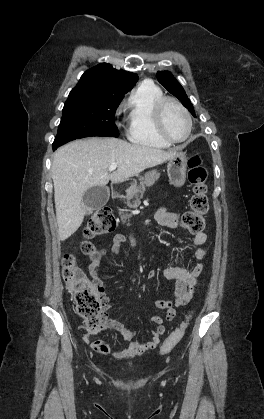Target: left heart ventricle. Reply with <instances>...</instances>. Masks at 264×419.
Listing matches in <instances>:
<instances>
[{
  "label": "left heart ventricle",
  "instance_id": "left-heart-ventricle-1",
  "mask_svg": "<svg viewBox=\"0 0 264 419\" xmlns=\"http://www.w3.org/2000/svg\"><path fill=\"white\" fill-rule=\"evenodd\" d=\"M164 127L166 132L175 139L185 137L188 124L182 111L173 104L167 105L164 111Z\"/></svg>",
  "mask_w": 264,
  "mask_h": 419
}]
</instances>
